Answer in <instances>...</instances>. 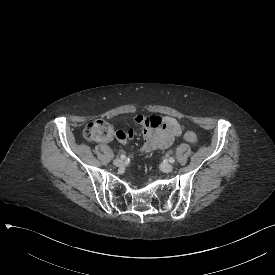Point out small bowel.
Instances as JSON below:
<instances>
[{
  "label": "small bowel",
  "mask_w": 275,
  "mask_h": 275,
  "mask_svg": "<svg viewBox=\"0 0 275 275\" xmlns=\"http://www.w3.org/2000/svg\"><path fill=\"white\" fill-rule=\"evenodd\" d=\"M134 122L143 128V144L139 149L140 154H147L155 150L168 148L175 137L180 136L183 126L174 118L159 116H145L138 114L134 117ZM135 135V131L120 129L116 133V138L126 144ZM127 136V140H126Z\"/></svg>",
  "instance_id": "small-bowel-1"
}]
</instances>
